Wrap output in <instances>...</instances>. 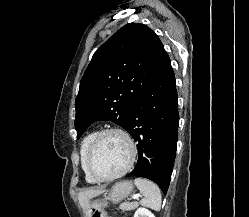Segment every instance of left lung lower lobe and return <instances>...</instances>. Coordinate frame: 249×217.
<instances>
[{
  "label": "left lung lower lobe",
  "instance_id": "obj_1",
  "mask_svg": "<svg viewBox=\"0 0 249 217\" xmlns=\"http://www.w3.org/2000/svg\"><path fill=\"white\" fill-rule=\"evenodd\" d=\"M179 113L170 59L134 105L127 131L138 142V161L127 176L152 180L167 193L178 139Z\"/></svg>",
  "mask_w": 249,
  "mask_h": 217
}]
</instances>
